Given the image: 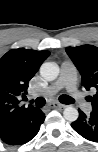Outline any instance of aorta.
Instances as JSON below:
<instances>
[{
  "label": "aorta",
  "mask_w": 98,
  "mask_h": 152,
  "mask_svg": "<svg viewBox=\"0 0 98 152\" xmlns=\"http://www.w3.org/2000/svg\"><path fill=\"white\" fill-rule=\"evenodd\" d=\"M40 75L47 81H53L59 75V66L54 62H45L40 67ZM63 116L68 121H75L79 112L76 108L67 106L63 111Z\"/></svg>",
  "instance_id": "aorta-1"
}]
</instances>
